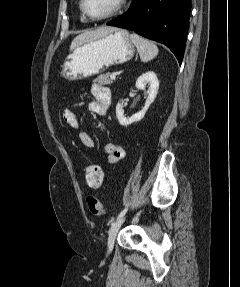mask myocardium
<instances>
[{
    "label": "myocardium",
    "mask_w": 240,
    "mask_h": 287,
    "mask_svg": "<svg viewBox=\"0 0 240 287\" xmlns=\"http://www.w3.org/2000/svg\"><path fill=\"white\" fill-rule=\"evenodd\" d=\"M126 0H116L114 7L111 9L110 12H108L107 14L103 15V16H92L87 8H86V0H80V8L81 11L83 13V15L94 22H100V21H105L108 20L112 17H114L115 15H117L119 13V11L123 8L124 4H125Z\"/></svg>",
    "instance_id": "f54148a6"
}]
</instances>
